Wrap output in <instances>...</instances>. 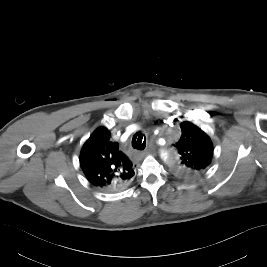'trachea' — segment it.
Returning a JSON list of instances; mask_svg holds the SVG:
<instances>
[{
	"label": "trachea",
	"instance_id": "obj_1",
	"mask_svg": "<svg viewBox=\"0 0 267 267\" xmlns=\"http://www.w3.org/2000/svg\"><path fill=\"white\" fill-rule=\"evenodd\" d=\"M132 146L137 150H144L146 147V138L142 133L134 134L132 138Z\"/></svg>",
	"mask_w": 267,
	"mask_h": 267
}]
</instances>
